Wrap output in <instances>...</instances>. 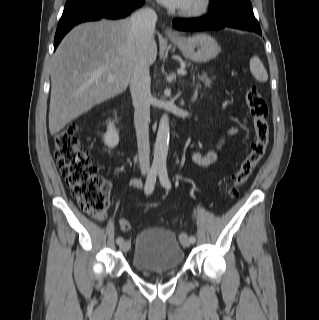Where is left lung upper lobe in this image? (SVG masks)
<instances>
[{
    "label": "left lung upper lobe",
    "instance_id": "left-lung-upper-lobe-1",
    "mask_svg": "<svg viewBox=\"0 0 319 320\" xmlns=\"http://www.w3.org/2000/svg\"><path fill=\"white\" fill-rule=\"evenodd\" d=\"M210 1H211V3H215V2H220L222 0H210Z\"/></svg>",
    "mask_w": 319,
    "mask_h": 320
}]
</instances>
